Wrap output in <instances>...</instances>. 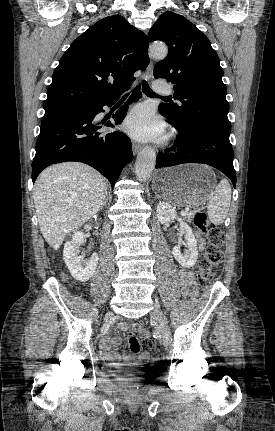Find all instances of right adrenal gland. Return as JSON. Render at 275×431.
<instances>
[{"mask_svg": "<svg viewBox=\"0 0 275 431\" xmlns=\"http://www.w3.org/2000/svg\"><path fill=\"white\" fill-rule=\"evenodd\" d=\"M107 200H108V198H105L103 206H107Z\"/></svg>", "mask_w": 275, "mask_h": 431, "instance_id": "right-adrenal-gland-1", "label": "right adrenal gland"}]
</instances>
